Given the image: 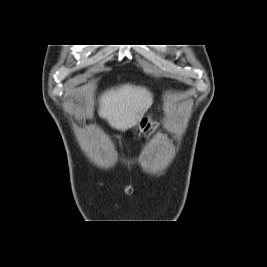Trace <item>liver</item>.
Instances as JSON below:
<instances>
[{"instance_id":"liver-1","label":"liver","mask_w":267,"mask_h":267,"mask_svg":"<svg viewBox=\"0 0 267 267\" xmlns=\"http://www.w3.org/2000/svg\"><path fill=\"white\" fill-rule=\"evenodd\" d=\"M153 103V95L145 87L120 85L104 92L99 99V116L117 130L135 126Z\"/></svg>"}]
</instances>
